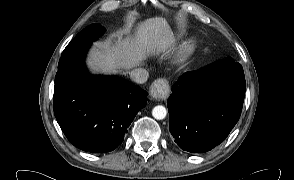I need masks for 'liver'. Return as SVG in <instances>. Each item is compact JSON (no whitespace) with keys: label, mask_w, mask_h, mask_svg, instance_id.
Segmentation results:
<instances>
[{"label":"liver","mask_w":294,"mask_h":180,"mask_svg":"<svg viewBox=\"0 0 294 180\" xmlns=\"http://www.w3.org/2000/svg\"><path fill=\"white\" fill-rule=\"evenodd\" d=\"M169 32L165 19L149 18L138 25L134 37H119L113 45L92 48L88 67L93 72L117 73L140 66L149 54L160 52L170 44Z\"/></svg>","instance_id":"1"}]
</instances>
